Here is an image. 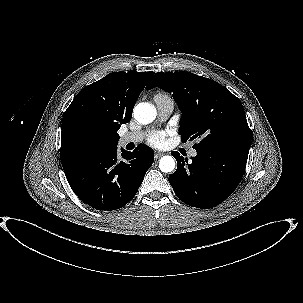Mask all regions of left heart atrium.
I'll return each mask as SVG.
<instances>
[{"mask_svg": "<svg viewBox=\"0 0 303 303\" xmlns=\"http://www.w3.org/2000/svg\"><path fill=\"white\" fill-rule=\"evenodd\" d=\"M166 135V131H153L148 137V142L151 146L160 147L164 144Z\"/></svg>", "mask_w": 303, "mask_h": 303, "instance_id": "left-heart-atrium-1", "label": "left heart atrium"}]
</instances>
